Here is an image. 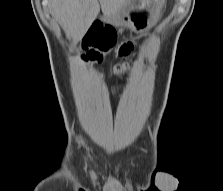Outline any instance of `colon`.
Listing matches in <instances>:
<instances>
[{"label": "colon", "mask_w": 223, "mask_h": 191, "mask_svg": "<svg viewBox=\"0 0 223 191\" xmlns=\"http://www.w3.org/2000/svg\"><path fill=\"white\" fill-rule=\"evenodd\" d=\"M116 42L115 31L109 27L104 26L99 28L95 26L92 28L84 38V46L87 50L84 58L89 61H100L101 60V51H105L111 48ZM133 52V44L131 42H124L120 45L118 49V55L121 58L129 57ZM133 63L130 61H125L120 64H117L114 67V73L117 76H122L127 73Z\"/></svg>", "instance_id": "obj_1"}]
</instances>
